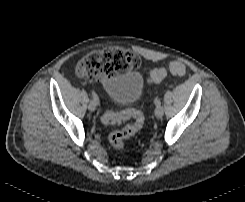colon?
<instances>
[{"instance_id":"5ec220e1","label":"colon","mask_w":245,"mask_h":202,"mask_svg":"<svg viewBox=\"0 0 245 202\" xmlns=\"http://www.w3.org/2000/svg\"><path fill=\"white\" fill-rule=\"evenodd\" d=\"M137 63L135 55L124 48H107L88 53L77 64V72L88 80H98L102 77L112 78L122 75L133 68ZM185 65L180 61H172L165 68L156 69L153 73L156 80H162L167 73L183 75ZM129 119L131 123L125 127L111 132L108 136L109 144L116 150H122L126 141L138 133L144 125L143 114L130 109L122 114L105 111L101 120L105 124H116Z\"/></svg>"}]
</instances>
